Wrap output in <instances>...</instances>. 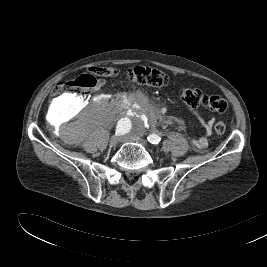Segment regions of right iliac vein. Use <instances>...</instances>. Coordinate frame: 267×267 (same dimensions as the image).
<instances>
[{
	"mask_svg": "<svg viewBox=\"0 0 267 267\" xmlns=\"http://www.w3.org/2000/svg\"><path fill=\"white\" fill-rule=\"evenodd\" d=\"M119 142V137L118 136H113L111 139H110V146L111 147H115Z\"/></svg>",
	"mask_w": 267,
	"mask_h": 267,
	"instance_id": "63e3f726",
	"label": "right iliac vein"
}]
</instances>
